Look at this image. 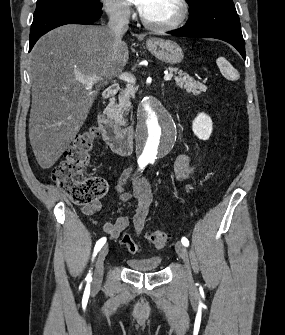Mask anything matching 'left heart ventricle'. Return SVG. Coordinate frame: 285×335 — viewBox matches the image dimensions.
Returning a JSON list of instances; mask_svg holds the SVG:
<instances>
[{
	"instance_id": "obj_1",
	"label": "left heart ventricle",
	"mask_w": 285,
	"mask_h": 335,
	"mask_svg": "<svg viewBox=\"0 0 285 335\" xmlns=\"http://www.w3.org/2000/svg\"><path fill=\"white\" fill-rule=\"evenodd\" d=\"M180 14L174 1H149L144 19L154 26H161L175 21Z\"/></svg>"
}]
</instances>
